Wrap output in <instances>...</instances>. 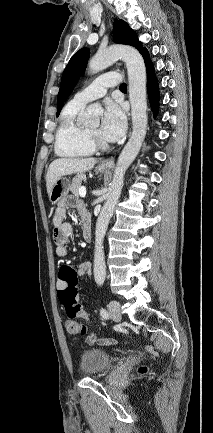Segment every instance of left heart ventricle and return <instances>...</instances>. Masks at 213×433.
I'll list each match as a JSON object with an SVG mask.
<instances>
[{
    "label": "left heart ventricle",
    "instance_id": "obj_1",
    "mask_svg": "<svg viewBox=\"0 0 213 433\" xmlns=\"http://www.w3.org/2000/svg\"><path fill=\"white\" fill-rule=\"evenodd\" d=\"M90 132L96 134L97 136H99L100 138L104 139L102 134H101V129H100V125L99 123L94 124L93 126H91L88 129Z\"/></svg>",
    "mask_w": 213,
    "mask_h": 433
}]
</instances>
